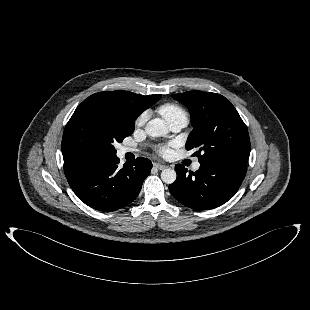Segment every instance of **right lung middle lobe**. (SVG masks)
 Here are the masks:
<instances>
[{
  "label": "right lung middle lobe",
  "mask_w": 310,
  "mask_h": 310,
  "mask_svg": "<svg viewBox=\"0 0 310 310\" xmlns=\"http://www.w3.org/2000/svg\"><path fill=\"white\" fill-rule=\"evenodd\" d=\"M134 125L111 110L77 108L63 133V156L77 159L116 155L113 143L130 136Z\"/></svg>",
  "instance_id": "right-lung-middle-lobe-1"
}]
</instances>
